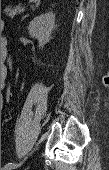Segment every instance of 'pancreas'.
<instances>
[{
	"mask_svg": "<svg viewBox=\"0 0 109 170\" xmlns=\"http://www.w3.org/2000/svg\"><path fill=\"white\" fill-rule=\"evenodd\" d=\"M24 8L21 6H16L15 8H10V7H6L4 9V12L10 17V18H14L15 15L23 12Z\"/></svg>",
	"mask_w": 109,
	"mask_h": 170,
	"instance_id": "obj_1",
	"label": "pancreas"
}]
</instances>
